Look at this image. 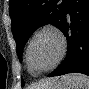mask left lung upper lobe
Here are the masks:
<instances>
[{
    "mask_svg": "<svg viewBox=\"0 0 89 89\" xmlns=\"http://www.w3.org/2000/svg\"><path fill=\"white\" fill-rule=\"evenodd\" d=\"M68 3L69 0H10L12 33L20 61L27 40L38 27L51 23L62 29Z\"/></svg>",
    "mask_w": 89,
    "mask_h": 89,
    "instance_id": "left-lung-upper-lobe-1",
    "label": "left lung upper lobe"
}]
</instances>
